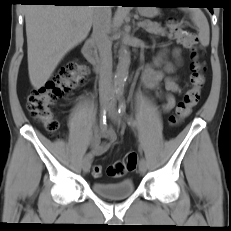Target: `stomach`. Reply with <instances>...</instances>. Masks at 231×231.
Returning a JSON list of instances; mask_svg holds the SVG:
<instances>
[{
	"instance_id": "0dacf381",
	"label": "stomach",
	"mask_w": 231,
	"mask_h": 231,
	"mask_svg": "<svg viewBox=\"0 0 231 231\" xmlns=\"http://www.w3.org/2000/svg\"><path fill=\"white\" fill-rule=\"evenodd\" d=\"M138 11L144 15V16H147V17H152L154 16V13L150 10V8H147V7H139L138 8Z\"/></svg>"
}]
</instances>
